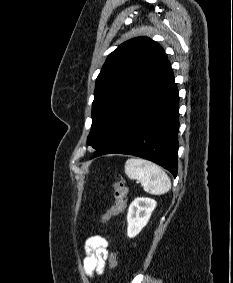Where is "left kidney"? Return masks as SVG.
<instances>
[{"mask_svg":"<svg viewBox=\"0 0 233 283\" xmlns=\"http://www.w3.org/2000/svg\"><path fill=\"white\" fill-rule=\"evenodd\" d=\"M156 201L150 198H136L129 206L127 213V236L133 238L147 225Z\"/></svg>","mask_w":233,"mask_h":283,"instance_id":"obj_1","label":"left kidney"}]
</instances>
